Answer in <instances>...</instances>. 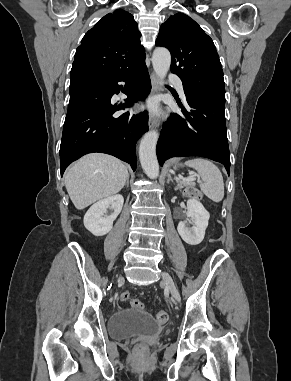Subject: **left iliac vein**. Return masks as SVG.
Instances as JSON below:
<instances>
[{"instance_id":"left-iliac-vein-1","label":"left iliac vein","mask_w":291,"mask_h":381,"mask_svg":"<svg viewBox=\"0 0 291 381\" xmlns=\"http://www.w3.org/2000/svg\"><path fill=\"white\" fill-rule=\"evenodd\" d=\"M162 276V280L164 282V284L166 285V287L169 289L172 297L176 300V301H180V294H179V291L171 277V275L167 272H162L161 274Z\"/></svg>"}]
</instances>
